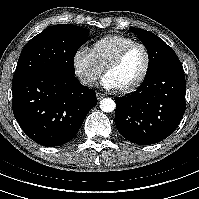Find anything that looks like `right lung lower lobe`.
<instances>
[{
  "label": "right lung lower lobe",
  "mask_w": 199,
  "mask_h": 199,
  "mask_svg": "<svg viewBox=\"0 0 199 199\" xmlns=\"http://www.w3.org/2000/svg\"><path fill=\"white\" fill-rule=\"evenodd\" d=\"M12 94L13 113L22 130L47 147L69 142L97 103L92 89L74 75L55 70L13 77Z\"/></svg>",
  "instance_id": "98d812e1"
}]
</instances>
